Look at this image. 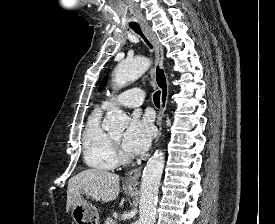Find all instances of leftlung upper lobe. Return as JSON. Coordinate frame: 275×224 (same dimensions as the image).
<instances>
[{
	"mask_svg": "<svg viewBox=\"0 0 275 224\" xmlns=\"http://www.w3.org/2000/svg\"><path fill=\"white\" fill-rule=\"evenodd\" d=\"M107 76L104 78V80L102 81V83H101V85H100V87H99V91L101 90V89H103L104 88V86L106 85V82H107Z\"/></svg>",
	"mask_w": 275,
	"mask_h": 224,
	"instance_id": "obj_1",
	"label": "left lung upper lobe"
}]
</instances>
